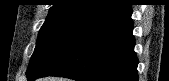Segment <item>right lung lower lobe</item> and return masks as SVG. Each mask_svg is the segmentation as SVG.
<instances>
[{
  "mask_svg": "<svg viewBox=\"0 0 169 81\" xmlns=\"http://www.w3.org/2000/svg\"><path fill=\"white\" fill-rule=\"evenodd\" d=\"M131 5L80 26L28 81L60 76L77 81H138Z\"/></svg>",
  "mask_w": 169,
  "mask_h": 81,
  "instance_id": "right-lung-lower-lobe-1",
  "label": "right lung lower lobe"
}]
</instances>
